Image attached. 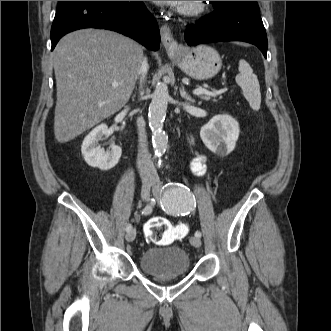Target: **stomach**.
<instances>
[{
	"label": "stomach",
	"mask_w": 331,
	"mask_h": 331,
	"mask_svg": "<svg viewBox=\"0 0 331 331\" xmlns=\"http://www.w3.org/2000/svg\"><path fill=\"white\" fill-rule=\"evenodd\" d=\"M180 69L196 80H207L221 69L219 53L211 46L201 44L193 48H183L172 56Z\"/></svg>",
	"instance_id": "1"
}]
</instances>
